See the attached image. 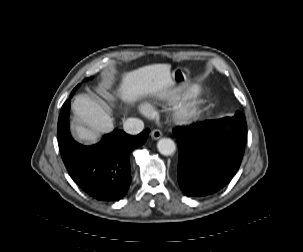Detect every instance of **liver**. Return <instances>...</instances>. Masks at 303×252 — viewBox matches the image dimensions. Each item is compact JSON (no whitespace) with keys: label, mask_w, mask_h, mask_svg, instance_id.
Listing matches in <instances>:
<instances>
[{"label":"liver","mask_w":303,"mask_h":252,"mask_svg":"<svg viewBox=\"0 0 303 252\" xmlns=\"http://www.w3.org/2000/svg\"><path fill=\"white\" fill-rule=\"evenodd\" d=\"M171 66L169 64H153L141 67L122 75V83L118 90L120 97L133 104L139 97L154 95L169 98L171 94ZM111 99L110 95H106ZM77 123L72 128L79 141L95 142L98 135L112 131L114 124L109 113L96 101L78 96L72 104Z\"/></svg>","instance_id":"1"}]
</instances>
